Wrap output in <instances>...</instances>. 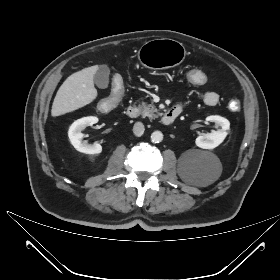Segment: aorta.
<instances>
[{"mask_svg":"<svg viewBox=\"0 0 280 280\" xmlns=\"http://www.w3.org/2000/svg\"><path fill=\"white\" fill-rule=\"evenodd\" d=\"M163 140V134L161 131H154L151 134V141L153 143H160Z\"/></svg>","mask_w":280,"mask_h":280,"instance_id":"762f6f07","label":"aorta"}]
</instances>
